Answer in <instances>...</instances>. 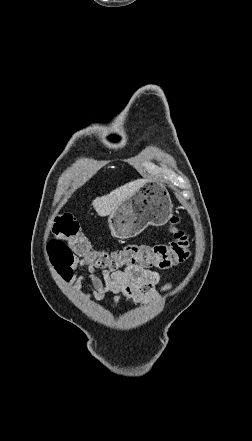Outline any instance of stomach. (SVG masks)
I'll list each match as a JSON object with an SVG mask.
<instances>
[{"label":"stomach","mask_w":252,"mask_h":441,"mask_svg":"<svg viewBox=\"0 0 252 441\" xmlns=\"http://www.w3.org/2000/svg\"><path fill=\"white\" fill-rule=\"evenodd\" d=\"M172 201L166 186L146 182L109 215L111 234L118 239L133 238L147 226H162L172 215Z\"/></svg>","instance_id":"1"}]
</instances>
